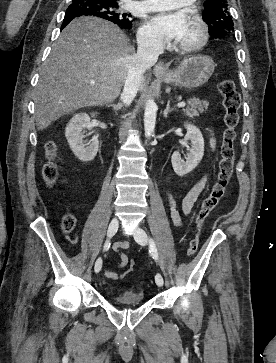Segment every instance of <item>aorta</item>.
Returning a JSON list of instances; mask_svg holds the SVG:
<instances>
[{"mask_svg": "<svg viewBox=\"0 0 276 363\" xmlns=\"http://www.w3.org/2000/svg\"><path fill=\"white\" fill-rule=\"evenodd\" d=\"M157 116V105L153 99H149L145 105L144 128L147 138L153 136Z\"/></svg>", "mask_w": 276, "mask_h": 363, "instance_id": "aorta-1", "label": "aorta"}]
</instances>
